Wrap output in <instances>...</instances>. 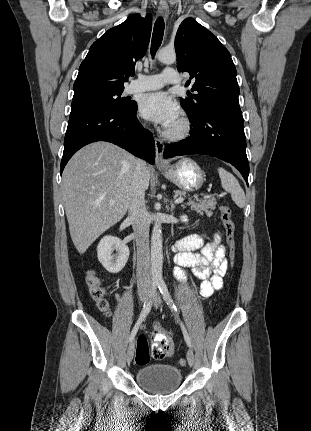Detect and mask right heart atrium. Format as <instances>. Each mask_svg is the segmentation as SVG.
I'll list each match as a JSON object with an SVG mask.
<instances>
[{
    "mask_svg": "<svg viewBox=\"0 0 311 431\" xmlns=\"http://www.w3.org/2000/svg\"><path fill=\"white\" fill-rule=\"evenodd\" d=\"M139 126H140V128H141L142 130H146V128H147V123H146V121H145V120H140V121H139Z\"/></svg>",
    "mask_w": 311,
    "mask_h": 431,
    "instance_id": "d8ad5b80",
    "label": "right heart atrium"
}]
</instances>
